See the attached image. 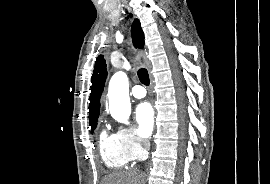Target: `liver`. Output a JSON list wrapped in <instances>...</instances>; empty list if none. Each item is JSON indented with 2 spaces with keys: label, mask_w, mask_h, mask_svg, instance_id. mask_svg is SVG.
<instances>
[{
  "label": "liver",
  "mask_w": 270,
  "mask_h": 184,
  "mask_svg": "<svg viewBox=\"0 0 270 184\" xmlns=\"http://www.w3.org/2000/svg\"><path fill=\"white\" fill-rule=\"evenodd\" d=\"M141 176L135 172H115L105 176L101 184H139Z\"/></svg>",
  "instance_id": "6515ba94"
}]
</instances>
